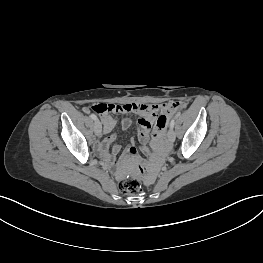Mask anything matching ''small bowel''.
<instances>
[{"mask_svg": "<svg viewBox=\"0 0 263 263\" xmlns=\"http://www.w3.org/2000/svg\"><path fill=\"white\" fill-rule=\"evenodd\" d=\"M168 107L163 113H140L138 120V141L140 148L143 152H148L147 144L150 149V162L142 163L137 150L133 143L129 144L121 158L117 161L114 160V156L121 150L120 144H114L116 136L111 134L101 140L95 145V150L98 155L111 162L117 170L119 176H123L129 169L132 168L135 175L146 174L144 181L147 184H152L155 181V176L159 172V168L163 164V144L165 134L168 132V125L172 121V117L180 109V104L174 99H169ZM103 123V131L105 134L111 133V131L117 125L111 115H100ZM123 130L128 129L131 126V119L125 118L120 123ZM152 134L150 136V132Z\"/></svg>", "mask_w": 263, "mask_h": 263, "instance_id": "1", "label": "small bowel"}]
</instances>
